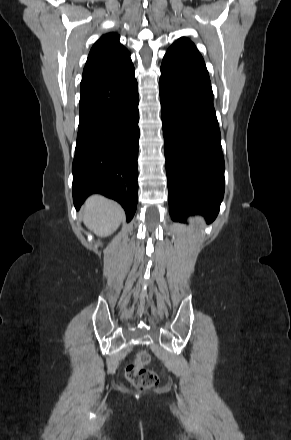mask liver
Wrapping results in <instances>:
<instances>
[{"instance_id":"obj_1","label":"liver","mask_w":291,"mask_h":440,"mask_svg":"<svg viewBox=\"0 0 291 440\" xmlns=\"http://www.w3.org/2000/svg\"><path fill=\"white\" fill-rule=\"evenodd\" d=\"M123 218L121 206L100 195L91 196L83 206L84 224L99 237L114 233Z\"/></svg>"}]
</instances>
